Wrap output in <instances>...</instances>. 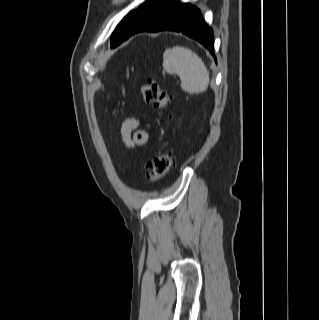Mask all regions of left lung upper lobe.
Wrapping results in <instances>:
<instances>
[{
  "label": "left lung upper lobe",
  "instance_id": "left-lung-upper-lobe-1",
  "mask_svg": "<svg viewBox=\"0 0 319 320\" xmlns=\"http://www.w3.org/2000/svg\"><path fill=\"white\" fill-rule=\"evenodd\" d=\"M156 2H158V0H149L148 2L141 5L138 10H132L131 12H129V14L121 20L111 37L112 48L118 46L124 41L127 33L130 31L136 21Z\"/></svg>",
  "mask_w": 319,
  "mask_h": 320
}]
</instances>
